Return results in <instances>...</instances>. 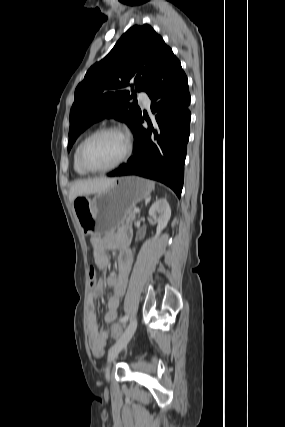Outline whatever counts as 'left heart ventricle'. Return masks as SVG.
<instances>
[{
	"mask_svg": "<svg viewBox=\"0 0 285 427\" xmlns=\"http://www.w3.org/2000/svg\"><path fill=\"white\" fill-rule=\"evenodd\" d=\"M126 149V139L120 133H105L94 139L86 148L85 161L93 168L115 163Z\"/></svg>",
	"mask_w": 285,
	"mask_h": 427,
	"instance_id": "obj_1",
	"label": "left heart ventricle"
}]
</instances>
